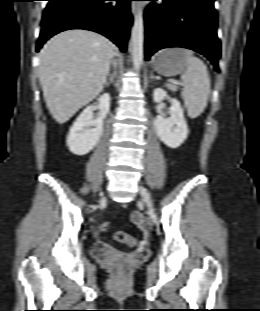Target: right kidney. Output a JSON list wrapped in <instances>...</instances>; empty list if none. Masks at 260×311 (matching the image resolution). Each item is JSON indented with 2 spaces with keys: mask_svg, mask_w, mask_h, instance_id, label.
Returning <instances> with one entry per match:
<instances>
[{
  "mask_svg": "<svg viewBox=\"0 0 260 311\" xmlns=\"http://www.w3.org/2000/svg\"><path fill=\"white\" fill-rule=\"evenodd\" d=\"M109 107L110 95L104 93L98 98L100 113L96 119H93L95 109L93 105L83 110L73 123L67 136V146L70 152L82 156L89 153L96 146L102 135L103 124L109 112Z\"/></svg>",
  "mask_w": 260,
  "mask_h": 311,
  "instance_id": "ca27d5eb",
  "label": "right kidney"
}]
</instances>
